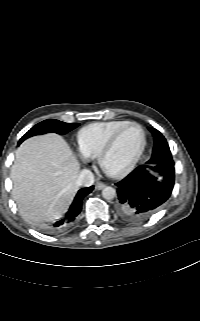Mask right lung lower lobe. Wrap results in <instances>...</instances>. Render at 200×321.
Instances as JSON below:
<instances>
[{
  "label": "right lung lower lobe",
  "mask_w": 200,
  "mask_h": 321,
  "mask_svg": "<svg viewBox=\"0 0 200 321\" xmlns=\"http://www.w3.org/2000/svg\"><path fill=\"white\" fill-rule=\"evenodd\" d=\"M93 188L94 187L91 186L88 188H82L78 191L69 210L67 211V213L62 219L58 220L56 223L53 224V226L50 229L51 232H54V233L61 232L69 228L73 224L74 220L76 219V217L78 216V214L82 209L83 198L86 195H88L93 190Z\"/></svg>",
  "instance_id": "1"
}]
</instances>
